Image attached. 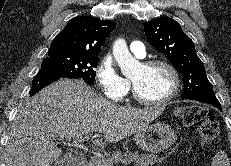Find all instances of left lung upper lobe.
I'll list each match as a JSON object with an SVG mask.
<instances>
[{
    "instance_id": "left-lung-upper-lobe-1",
    "label": "left lung upper lobe",
    "mask_w": 231,
    "mask_h": 166,
    "mask_svg": "<svg viewBox=\"0 0 231 166\" xmlns=\"http://www.w3.org/2000/svg\"><path fill=\"white\" fill-rule=\"evenodd\" d=\"M144 31L149 43L183 75V99L215 96L194 43L178 22L169 17L158 18L145 22Z\"/></svg>"
}]
</instances>
